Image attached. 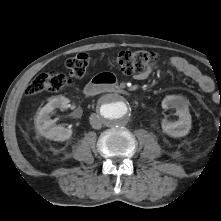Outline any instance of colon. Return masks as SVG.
I'll list each match as a JSON object with an SVG mask.
<instances>
[{
    "label": "colon",
    "mask_w": 221,
    "mask_h": 221,
    "mask_svg": "<svg viewBox=\"0 0 221 221\" xmlns=\"http://www.w3.org/2000/svg\"><path fill=\"white\" fill-rule=\"evenodd\" d=\"M158 60L159 55L155 52L122 51L113 59V64L122 73L131 75L144 72ZM89 63L88 54L79 53L67 59L65 65L71 77L81 78L86 74ZM71 85L72 80L69 76L62 72L53 71L36 76L28 85L26 92L28 95H35L43 91L56 92Z\"/></svg>",
    "instance_id": "colon-1"
}]
</instances>
